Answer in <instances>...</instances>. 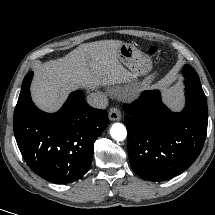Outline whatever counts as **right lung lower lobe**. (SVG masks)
Masks as SVG:
<instances>
[{"label":"right lung lower lobe","mask_w":215,"mask_h":215,"mask_svg":"<svg viewBox=\"0 0 215 215\" xmlns=\"http://www.w3.org/2000/svg\"><path fill=\"white\" fill-rule=\"evenodd\" d=\"M30 83L23 81L20 92L30 97L28 110L14 124L20 152L43 179L74 182L90 168L94 142L108 126V114L85 103L81 91L72 92L56 113L43 112L31 100Z\"/></svg>","instance_id":"98d812e1"}]
</instances>
